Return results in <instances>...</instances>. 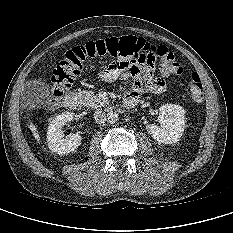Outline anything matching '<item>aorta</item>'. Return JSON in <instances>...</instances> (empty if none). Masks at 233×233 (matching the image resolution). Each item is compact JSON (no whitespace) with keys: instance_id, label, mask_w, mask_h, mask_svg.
Wrapping results in <instances>:
<instances>
[{"instance_id":"1","label":"aorta","mask_w":233,"mask_h":233,"mask_svg":"<svg viewBox=\"0 0 233 233\" xmlns=\"http://www.w3.org/2000/svg\"><path fill=\"white\" fill-rule=\"evenodd\" d=\"M119 120V116L116 112L110 111L107 114V121L111 124L116 123Z\"/></svg>"}]
</instances>
